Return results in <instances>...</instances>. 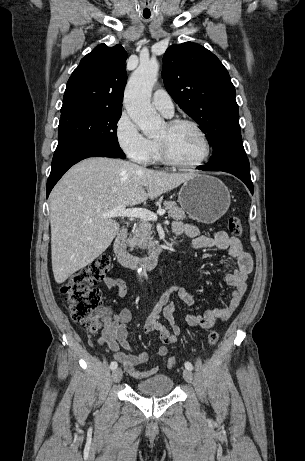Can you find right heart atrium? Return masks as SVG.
Masks as SVG:
<instances>
[{"mask_svg":"<svg viewBox=\"0 0 305 461\" xmlns=\"http://www.w3.org/2000/svg\"><path fill=\"white\" fill-rule=\"evenodd\" d=\"M115 137L121 150L132 161L139 164L149 162L152 143L126 112H123L116 122Z\"/></svg>","mask_w":305,"mask_h":461,"instance_id":"right-heart-atrium-1","label":"right heart atrium"}]
</instances>
